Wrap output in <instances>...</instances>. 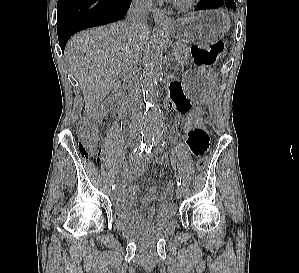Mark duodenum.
<instances>
[{"label": "duodenum", "instance_id": "1", "mask_svg": "<svg viewBox=\"0 0 299 273\" xmlns=\"http://www.w3.org/2000/svg\"><path fill=\"white\" fill-rule=\"evenodd\" d=\"M117 102H118V109H119V111L122 114H126V102H125V99L122 96H119ZM166 104H167V108L168 109L172 108L170 97L168 98Z\"/></svg>", "mask_w": 299, "mask_h": 273}]
</instances>
